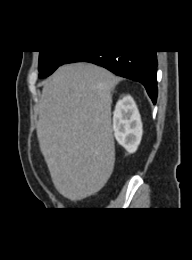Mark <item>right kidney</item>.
Wrapping results in <instances>:
<instances>
[{
  "label": "right kidney",
  "mask_w": 192,
  "mask_h": 260,
  "mask_svg": "<svg viewBox=\"0 0 192 260\" xmlns=\"http://www.w3.org/2000/svg\"><path fill=\"white\" fill-rule=\"evenodd\" d=\"M113 130L117 142L128 153H134L142 138V122L131 96L119 100L113 113Z\"/></svg>",
  "instance_id": "ca27d5eb"
}]
</instances>
